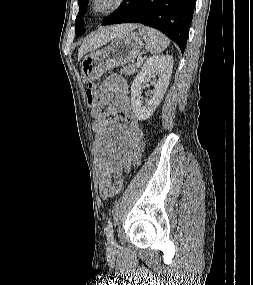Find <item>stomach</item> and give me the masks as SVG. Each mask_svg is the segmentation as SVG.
<instances>
[{
  "instance_id": "1",
  "label": "stomach",
  "mask_w": 253,
  "mask_h": 285,
  "mask_svg": "<svg viewBox=\"0 0 253 285\" xmlns=\"http://www.w3.org/2000/svg\"><path fill=\"white\" fill-rule=\"evenodd\" d=\"M144 43L137 33L117 37L110 45L86 55L81 62V73L86 81L99 79L115 67L133 61L141 52Z\"/></svg>"
}]
</instances>
